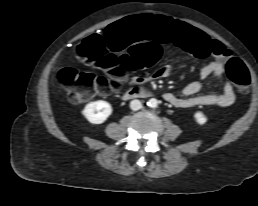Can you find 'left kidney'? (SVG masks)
Segmentation results:
<instances>
[{"label": "left kidney", "mask_w": 258, "mask_h": 206, "mask_svg": "<svg viewBox=\"0 0 258 206\" xmlns=\"http://www.w3.org/2000/svg\"><path fill=\"white\" fill-rule=\"evenodd\" d=\"M194 119L199 125H204L208 120L207 117L201 111L195 112Z\"/></svg>", "instance_id": "5707ae66"}]
</instances>
